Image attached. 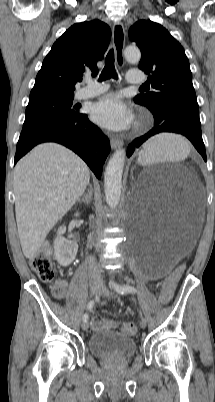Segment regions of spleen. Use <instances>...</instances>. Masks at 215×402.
<instances>
[{"mask_svg":"<svg viewBox=\"0 0 215 402\" xmlns=\"http://www.w3.org/2000/svg\"><path fill=\"white\" fill-rule=\"evenodd\" d=\"M188 144L180 136L160 135L144 145L142 157L146 163L162 160H179L188 154Z\"/></svg>","mask_w":215,"mask_h":402,"instance_id":"3e777b00","label":"spleen"}]
</instances>
